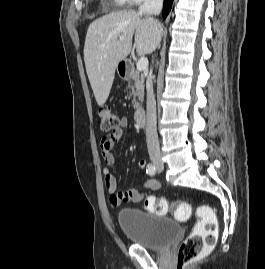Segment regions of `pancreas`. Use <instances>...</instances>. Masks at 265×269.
<instances>
[{"label": "pancreas", "instance_id": "pancreas-1", "mask_svg": "<svg viewBox=\"0 0 265 269\" xmlns=\"http://www.w3.org/2000/svg\"><path fill=\"white\" fill-rule=\"evenodd\" d=\"M129 87L132 89L133 95L132 105L135 110L140 108V103L144 97V75L139 71L133 70L129 79Z\"/></svg>", "mask_w": 265, "mask_h": 269}]
</instances>
